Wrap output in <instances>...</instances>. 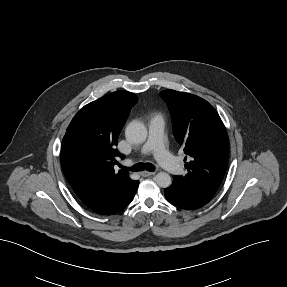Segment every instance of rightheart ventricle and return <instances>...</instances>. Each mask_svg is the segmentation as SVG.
Wrapping results in <instances>:
<instances>
[{
    "mask_svg": "<svg viewBox=\"0 0 287 287\" xmlns=\"http://www.w3.org/2000/svg\"><path fill=\"white\" fill-rule=\"evenodd\" d=\"M156 117H159V118H161V117H160V115H156Z\"/></svg>",
    "mask_w": 287,
    "mask_h": 287,
    "instance_id": "e07e8e85",
    "label": "right heart ventricle"
}]
</instances>
